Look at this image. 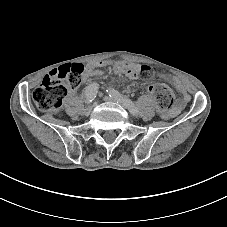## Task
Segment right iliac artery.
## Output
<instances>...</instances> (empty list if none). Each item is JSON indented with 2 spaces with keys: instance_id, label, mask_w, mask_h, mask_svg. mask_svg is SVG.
Instances as JSON below:
<instances>
[{
  "instance_id": "1",
  "label": "right iliac artery",
  "mask_w": 227,
  "mask_h": 227,
  "mask_svg": "<svg viewBox=\"0 0 227 227\" xmlns=\"http://www.w3.org/2000/svg\"><path fill=\"white\" fill-rule=\"evenodd\" d=\"M98 92V85L96 83H93L85 88V97H86V102L91 103Z\"/></svg>"
}]
</instances>
